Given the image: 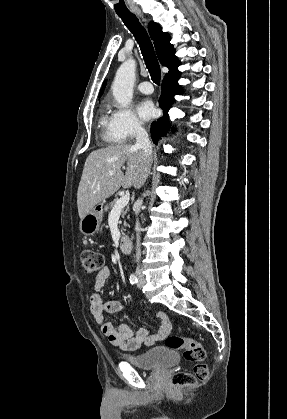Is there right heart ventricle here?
<instances>
[{
  "label": "right heart ventricle",
  "mask_w": 287,
  "mask_h": 419,
  "mask_svg": "<svg viewBox=\"0 0 287 419\" xmlns=\"http://www.w3.org/2000/svg\"><path fill=\"white\" fill-rule=\"evenodd\" d=\"M99 127L101 130V137L107 144H119L122 140L116 134L113 127V118L109 113L107 106H105L100 114Z\"/></svg>",
  "instance_id": "e07e8e85"
}]
</instances>
